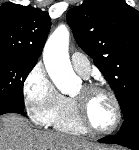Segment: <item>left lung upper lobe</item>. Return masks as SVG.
Wrapping results in <instances>:
<instances>
[{"mask_svg":"<svg viewBox=\"0 0 139 150\" xmlns=\"http://www.w3.org/2000/svg\"><path fill=\"white\" fill-rule=\"evenodd\" d=\"M67 22L126 116L139 102V12L124 0H85L68 11Z\"/></svg>","mask_w":139,"mask_h":150,"instance_id":"1","label":"left lung upper lobe"}]
</instances>
